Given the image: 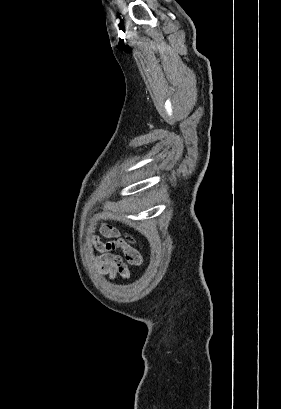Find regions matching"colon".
Returning <instances> with one entry per match:
<instances>
[{
	"label": "colon",
	"instance_id": "colon-1",
	"mask_svg": "<svg viewBox=\"0 0 281 409\" xmlns=\"http://www.w3.org/2000/svg\"><path fill=\"white\" fill-rule=\"evenodd\" d=\"M131 241H132V239L128 238V242H131ZM124 249H135V248L127 245V246L124 247Z\"/></svg>",
	"mask_w": 281,
	"mask_h": 409
}]
</instances>
